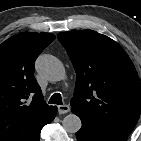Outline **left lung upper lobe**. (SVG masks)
Returning a JSON list of instances; mask_svg holds the SVG:
<instances>
[{
  "label": "left lung upper lobe",
  "instance_id": "1",
  "mask_svg": "<svg viewBox=\"0 0 141 141\" xmlns=\"http://www.w3.org/2000/svg\"><path fill=\"white\" fill-rule=\"evenodd\" d=\"M58 39L77 76L72 111L105 131L128 136L140 116L141 91L127 53L92 30L61 32Z\"/></svg>",
  "mask_w": 141,
  "mask_h": 141
}]
</instances>
